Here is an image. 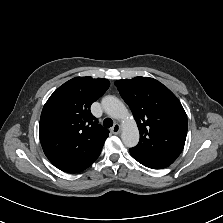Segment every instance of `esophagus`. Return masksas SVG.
Segmentation results:
<instances>
[{
	"label": "esophagus",
	"mask_w": 223,
	"mask_h": 223,
	"mask_svg": "<svg viewBox=\"0 0 223 223\" xmlns=\"http://www.w3.org/2000/svg\"><path fill=\"white\" fill-rule=\"evenodd\" d=\"M120 130H121V127H120V124L118 123H115L113 125V127L111 128V132L114 134V135H117L120 133Z\"/></svg>",
	"instance_id": "34e87169"
}]
</instances>
